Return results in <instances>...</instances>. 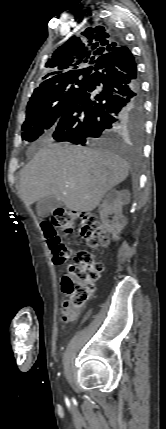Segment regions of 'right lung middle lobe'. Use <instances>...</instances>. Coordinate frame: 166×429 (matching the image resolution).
<instances>
[{
    "instance_id": "obj_1",
    "label": "right lung middle lobe",
    "mask_w": 166,
    "mask_h": 429,
    "mask_svg": "<svg viewBox=\"0 0 166 429\" xmlns=\"http://www.w3.org/2000/svg\"><path fill=\"white\" fill-rule=\"evenodd\" d=\"M88 78L89 74L72 76L57 82L43 92L33 93L22 126L23 139L32 142L48 129L53 130L73 96L88 82ZM141 135L142 130L132 134V137L140 139Z\"/></svg>"
}]
</instances>
